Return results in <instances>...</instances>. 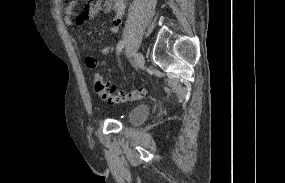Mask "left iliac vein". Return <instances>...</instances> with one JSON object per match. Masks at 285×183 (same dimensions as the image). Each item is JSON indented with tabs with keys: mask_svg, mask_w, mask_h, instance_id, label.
<instances>
[{
	"mask_svg": "<svg viewBox=\"0 0 285 183\" xmlns=\"http://www.w3.org/2000/svg\"><path fill=\"white\" fill-rule=\"evenodd\" d=\"M145 60L142 53L137 52L134 56V64L136 68H142L144 66Z\"/></svg>",
	"mask_w": 285,
	"mask_h": 183,
	"instance_id": "obj_1",
	"label": "left iliac vein"
}]
</instances>
